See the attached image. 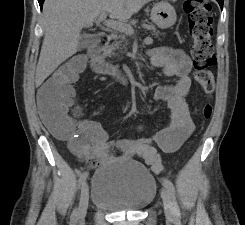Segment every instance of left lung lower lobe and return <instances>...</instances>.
<instances>
[{"mask_svg":"<svg viewBox=\"0 0 245 225\" xmlns=\"http://www.w3.org/2000/svg\"><path fill=\"white\" fill-rule=\"evenodd\" d=\"M217 1H218L219 5L221 6V9H222L224 0H217Z\"/></svg>","mask_w":245,"mask_h":225,"instance_id":"left-lung-lower-lobe-1","label":"left lung lower lobe"}]
</instances>
